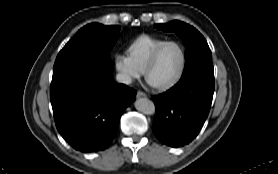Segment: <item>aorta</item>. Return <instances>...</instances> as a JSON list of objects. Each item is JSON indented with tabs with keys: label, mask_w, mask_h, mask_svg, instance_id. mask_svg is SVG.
I'll use <instances>...</instances> for the list:
<instances>
[{
	"label": "aorta",
	"mask_w": 278,
	"mask_h": 174,
	"mask_svg": "<svg viewBox=\"0 0 278 174\" xmlns=\"http://www.w3.org/2000/svg\"><path fill=\"white\" fill-rule=\"evenodd\" d=\"M134 107L142 113H150L152 111V104L146 98H137L134 102Z\"/></svg>",
	"instance_id": "762f6f07"
}]
</instances>
